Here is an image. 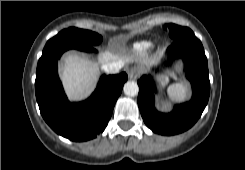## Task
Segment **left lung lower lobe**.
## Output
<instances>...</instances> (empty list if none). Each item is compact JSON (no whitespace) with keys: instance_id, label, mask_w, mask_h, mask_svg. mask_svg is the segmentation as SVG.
Segmentation results:
<instances>
[{"instance_id":"obj_1","label":"left lung lower lobe","mask_w":245,"mask_h":170,"mask_svg":"<svg viewBox=\"0 0 245 170\" xmlns=\"http://www.w3.org/2000/svg\"><path fill=\"white\" fill-rule=\"evenodd\" d=\"M168 52L173 58L183 59L193 96L189 102L176 105L171 113H160L154 106L156 88L152 77L144 75L138 80V106L142 118L148 128L161 135H175L191 128L200 118L210 94L208 64L202 44L175 40Z\"/></svg>"}]
</instances>
